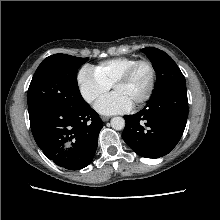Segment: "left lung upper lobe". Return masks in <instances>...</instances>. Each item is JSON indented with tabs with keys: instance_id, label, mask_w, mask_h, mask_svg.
<instances>
[{
	"instance_id": "5c2ea615",
	"label": "left lung upper lobe",
	"mask_w": 220,
	"mask_h": 220,
	"mask_svg": "<svg viewBox=\"0 0 220 220\" xmlns=\"http://www.w3.org/2000/svg\"><path fill=\"white\" fill-rule=\"evenodd\" d=\"M142 52L151 60L157 75L152 96L162 93L171 87L186 84L185 77L179 67L164 51L154 47H146L142 49Z\"/></svg>"
}]
</instances>
